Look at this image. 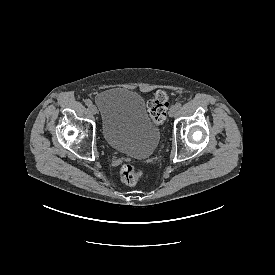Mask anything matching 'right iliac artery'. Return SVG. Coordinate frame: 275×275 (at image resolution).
<instances>
[{
	"label": "right iliac artery",
	"mask_w": 275,
	"mask_h": 275,
	"mask_svg": "<svg viewBox=\"0 0 275 275\" xmlns=\"http://www.w3.org/2000/svg\"><path fill=\"white\" fill-rule=\"evenodd\" d=\"M85 104L90 107L92 105V101L90 99H86Z\"/></svg>",
	"instance_id": "right-iliac-artery-1"
}]
</instances>
